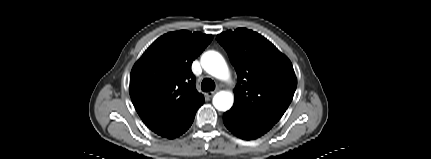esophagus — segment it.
<instances>
[{
  "instance_id": "34e87169",
  "label": "esophagus",
  "mask_w": 431,
  "mask_h": 159,
  "mask_svg": "<svg viewBox=\"0 0 431 159\" xmlns=\"http://www.w3.org/2000/svg\"><path fill=\"white\" fill-rule=\"evenodd\" d=\"M217 90H218V89H217ZM217 90H215V91H210V92L206 93V96H208V97H212V96L217 92Z\"/></svg>"
}]
</instances>
